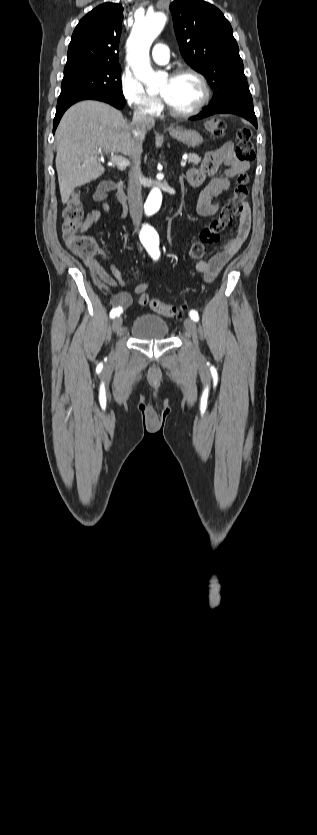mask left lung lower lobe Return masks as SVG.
Here are the masks:
<instances>
[{"label":"left lung lower lobe","instance_id":"0a47b994","mask_svg":"<svg viewBox=\"0 0 317 835\" xmlns=\"http://www.w3.org/2000/svg\"><path fill=\"white\" fill-rule=\"evenodd\" d=\"M231 113L239 115L250 121L257 128V119L254 112L253 103L244 100H231L221 106L215 107L209 105L205 110L196 116L191 117V120L202 119L213 114Z\"/></svg>","mask_w":317,"mask_h":835}]
</instances>
